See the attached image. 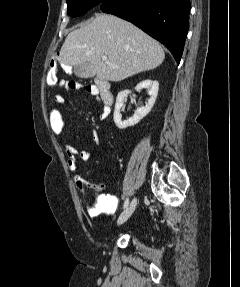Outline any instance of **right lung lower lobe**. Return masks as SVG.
<instances>
[{
    "label": "right lung lower lobe",
    "mask_w": 240,
    "mask_h": 287,
    "mask_svg": "<svg viewBox=\"0 0 240 287\" xmlns=\"http://www.w3.org/2000/svg\"><path fill=\"white\" fill-rule=\"evenodd\" d=\"M100 9L163 43L179 64L189 29L190 0H106Z\"/></svg>",
    "instance_id": "1"
}]
</instances>
